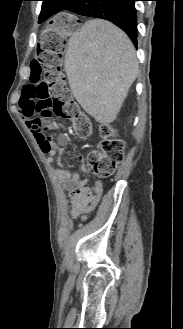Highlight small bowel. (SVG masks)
I'll list each match as a JSON object with an SVG mask.
<instances>
[{
    "instance_id": "obj_1",
    "label": "small bowel",
    "mask_w": 183,
    "mask_h": 329,
    "mask_svg": "<svg viewBox=\"0 0 183 329\" xmlns=\"http://www.w3.org/2000/svg\"><path fill=\"white\" fill-rule=\"evenodd\" d=\"M21 117L42 151V139L47 137L45 132L42 131V126L29 114H21ZM49 141L51 143V148L46 152L42 151V153L47 154L48 162L52 163L56 159L58 152L65 146L67 135L62 133L55 141L50 139ZM81 171L87 173L88 169L82 166ZM58 174L62 179L69 180L72 183L71 213L74 217H84L97 207L103 192V184L100 181H95L93 186L89 188L86 186L87 178H81L78 173H71L63 169L59 170Z\"/></svg>"
}]
</instances>
